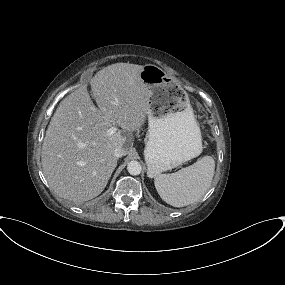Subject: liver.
<instances>
[{"mask_svg": "<svg viewBox=\"0 0 285 285\" xmlns=\"http://www.w3.org/2000/svg\"><path fill=\"white\" fill-rule=\"evenodd\" d=\"M142 69L116 63L97 72L90 86L100 109L86 85L59 104L43 140L41 162L60 197L76 203L97 197L117 166L114 150L122 147L127 154L132 148V132L144 125L151 94L140 78ZM115 125L121 130L109 136Z\"/></svg>", "mask_w": 285, "mask_h": 285, "instance_id": "obj_1", "label": "liver"}]
</instances>
